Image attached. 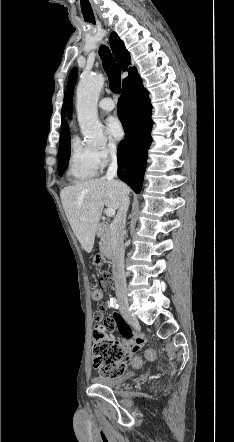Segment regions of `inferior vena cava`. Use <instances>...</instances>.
<instances>
[{
  "mask_svg": "<svg viewBox=\"0 0 234 442\" xmlns=\"http://www.w3.org/2000/svg\"><path fill=\"white\" fill-rule=\"evenodd\" d=\"M111 164L106 173V179L112 180L117 174V156L116 149L109 150ZM128 196H123L121 205L111 227V243L113 250L112 272L115 283V292L119 299L127 300V286L124 272V228L126 224V212L129 207Z\"/></svg>",
  "mask_w": 234,
  "mask_h": 442,
  "instance_id": "obj_1",
  "label": "inferior vena cava"
}]
</instances>
